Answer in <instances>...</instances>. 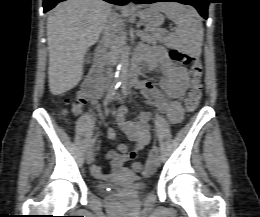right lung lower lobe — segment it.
I'll return each instance as SVG.
<instances>
[{
	"instance_id": "98d812e1",
	"label": "right lung lower lobe",
	"mask_w": 260,
	"mask_h": 217,
	"mask_svg": "<svg viewBox=\"0 0 260 217\" xmlns=\"http://www.w3.org/2000/svg\"><path fill=\"white\" fill-rule=\"evenodd\" d=\"M43 8H44V13L49 11L50 9H52L57 3L61 2V1H65V0H43ZM109 3H113L116 5H126L127 3H129V1L131 0H105Z\"/></svg>"
}]
</instances>
